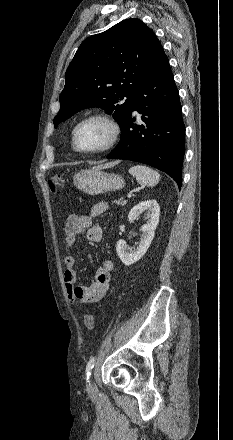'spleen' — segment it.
I'll use <instances>...</instances> for the list:
<instances>
[{
    "label": "spleen",
    "mask_w": 233,
    "mask_h": 440,
    "mask_svg": "<svg viewBox=\"0 0 233 440\" xmlns=\"http://www.w3.org/2000/svg\"><path fill=\"white\" fill-rule=\"evenodd\" d=\"M129 173L136 178L140 185L144 186H155L160 180L159 173L145 165L132 166L129 169Z\"/></svg>",
    "instance_id": "obj_1"
}]
</instances>
